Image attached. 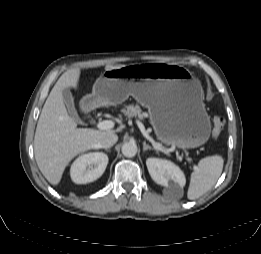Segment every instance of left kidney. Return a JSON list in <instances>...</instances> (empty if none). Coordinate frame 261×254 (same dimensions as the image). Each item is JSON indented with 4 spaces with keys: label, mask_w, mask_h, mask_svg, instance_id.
Segmentation results:
<instances>
[{
    "label": "left kidney",
    "mask_w": 261,
    "mask_h": 254,
    "mask_svg": "<svg viewBox=\"0 0 261 254\" xmlns=\"http://www.w3.org/2000/svg\"><path fill=\"white\" fill-rule=\"evenodd\" d=\"M146 165L151 178L157 184L166 187L170 184H177L181 188L185 186V175L173 162L159 158H148Z\"/></svg>",
    "instance_id": "obj_1"
}]
</instances>
